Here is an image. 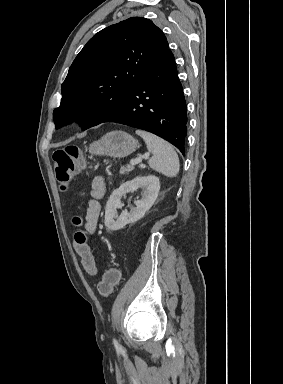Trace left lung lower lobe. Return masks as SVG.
<instances>
[{
	"mask_svg": "<svg viewBox=\"0 0 283 384\" xmlns=\"http://www.w3.org/2000/svg\"><path fill=\"white\" fill-rule=\"evenodd\" d=\"M102 122H116L149 131L185 153L186 101L169 48L136 83L123 105Z\"/></svg>",
	"mask_w": 283,
	"mask_h": 384,
	"instance_id": "left-lung-lower-lobe-1",
	"label": "left lung lower lobe"
}]
</instances>
